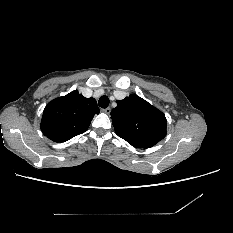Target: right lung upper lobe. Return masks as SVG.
I'll use <instances>...</instances> for the list:
<instances>
[{
  "label": "right lung upper lobe",
  "instance_id": "right-lung-upper-lobe-1",
  "mask_svg": "<svg viewBox=\"0 0 233 233\" xmlns=\"http://www.w3.org/2000/svg\"><path fill=\"white\" fill-rule=\"evenodd\" d=\"M99 113L94 98H85L77 90L49 102L41 120L42 133L54 142H65L85 132Z\"/></svg>",
  "mask_w": 233,
  "mask_h": 233
}]
</instances>
